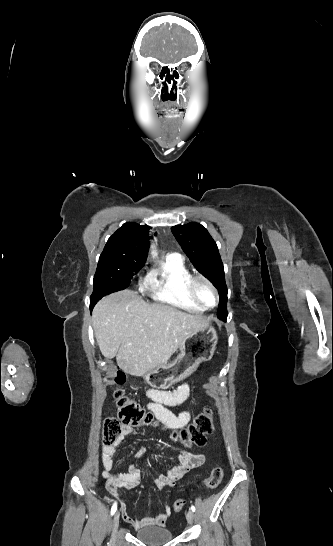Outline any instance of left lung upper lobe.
Wrapping results in <instances>:
<instances>
[{
    "label": "left lung upper lobe",
    "instance_id": "1",
    "mask_svg": "<svg viewBox=\"0 0 333 546\" xmlns=\"http://www.w3.org/2000/svg\"><path fill=\"white\" fill-rule=\"evenodd\" d=\"M173 235L189 257L194 267L209 279L219 292L218 318L226 320L227 286L223 263L217 245L207 229L199 223L176 225L171 228Z\"/></svg>",
    "mask_w": 333,
    "mask_h": 546
}]
</instances>
